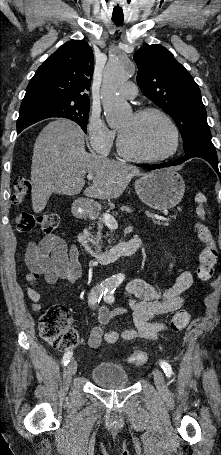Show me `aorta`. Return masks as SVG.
<instances>
[{
	"instance_id": "762f6f07",
	"label": "aorta",
	"mask_w": 221,
	"mask_h": 455,
	"mask_svg": "<svg viewBox=\"0 0 221 455\" xmlns=\"http://www.w3.org/2000/svg\"><path fill=\"white\" fill-rule=\"evenodd\" d=\"M135 73V65L129 60L113 59L107 64L101 87L102 104L106 121L111 127L119 125L131 114L130 105L117 96L119 86ZM119 275L112 276V281H118Z\"/></svg>"
}]
</instances>
